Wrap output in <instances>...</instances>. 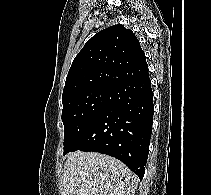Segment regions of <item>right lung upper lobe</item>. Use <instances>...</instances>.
I'll use <instances>...</instances> for the list:
<instances>
[{
  "mask_svg": "<svg viewBox=\"0 0 211 195\" xmlns=\"http://www.w3.org/2000/svg\"><path fill=\"white\" fill-rule=\"evenodd\" d=\"M148 71L145 53L133 31L113 25L94 35L75 57L62 100L89 89H111Z\"/></svg>",
  "mask_w": 211,
  "mask_h": 195,
  "instance_id": "1",
  "label": "right lung upper lobe"
}]
</instances>
